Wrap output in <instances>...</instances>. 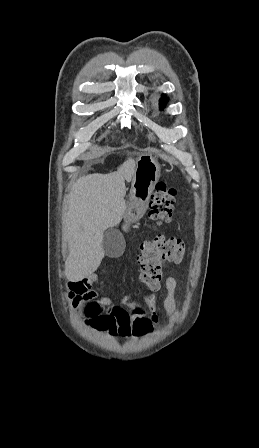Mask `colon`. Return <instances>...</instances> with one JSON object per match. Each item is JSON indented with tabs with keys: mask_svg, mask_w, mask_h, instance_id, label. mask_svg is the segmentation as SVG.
Returning a JSON list of instances; mask_svg holds the SVG:
<instances>
[{
	"mask_svg": "<svg viewBox=\"0 0 259 448\" xmlns=\"http://www.w3.org/2000/svg\"><path fill=\"white\" fill-rule=\"evenodd\" d=\"M176 190L165 183H158L150 201L149 217L161 225L170 221L175 203ZM185 252V244L178 238L157 236L141 245L138 256L140 279L146 287L155 291L163 277L164 264L179 263Z\"/></svg>",
	"mask_w": 259,
	"mask_h": 448,
	"instance_id": "1",
	"label": "colon"
}]
</instances>
